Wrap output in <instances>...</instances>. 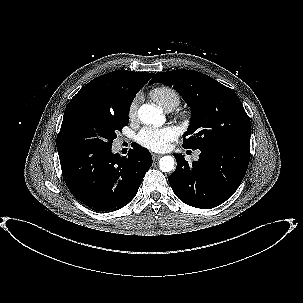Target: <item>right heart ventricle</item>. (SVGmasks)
<instances>
[{
    "mask_svg": "<svg viewBox=\"0 0 303 303\" xmlns=\"http://www.w3.org/2000/svg\"><path fill=\"white\" fill-rule=\"evenodd\" d=\"M149 95L167 112L177 108L181 102L178 92L168 86L155 87L150 91Z\"/></svg>",
    "mask_w": 303,
    "mask_h": 303,
    "instance_id": "obj_1",
    "label": "right heart ventricle"
}]
</instances>
